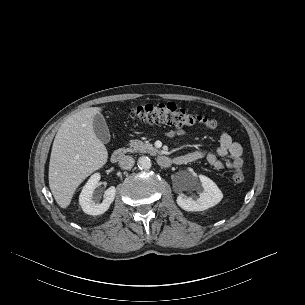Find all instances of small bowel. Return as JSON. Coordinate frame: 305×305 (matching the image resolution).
Returning a JSON list of instances; mask_svg holds the SVG:
<instances>
[{
  "instance_id": "1",
  "label": "small bowel",
  "mask_w": 305,
  "mask_h": 305,
  "mask_svg": "<svg viewBox=\"0 0 305 305\" xmlns=\"http://www.w3.org/2000/svg\"><path fill=\"white\" fill-rule=\"evenodd\" d=\"M185 134L186 130L184 128L169 129L165 132V136L168 138ZM175 159L177 160V165H184L204 159L217 170L237 169L244 163L242 146L234 141L227 132L221 133L216 151L199 149L177 156Z\"/></svg>"
}]
</instances>
